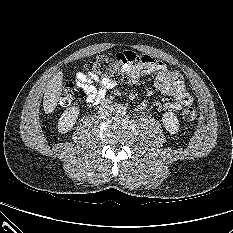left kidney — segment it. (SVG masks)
I'll return each mask as SVG.
<instances>
[{"mask_svg":"<svg viewBox=\"0 0 233 233\" xmlns=\"http://www.w3.org/2000/svg\"><path fill=\"white\" fill-rule=\"evenodd\" d=\"M162 120L166 130L169 131L171 134H176L179 131L180 129L179 121L174 113L172 112L164 113Z\"/></svg>","mask_w":233,"mask_h":233,"instance_id":"obj_1","label":"left kidney"}]
</instances>
